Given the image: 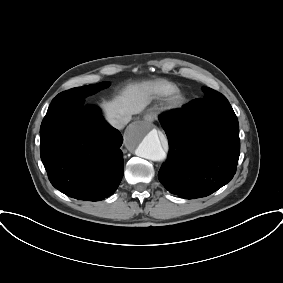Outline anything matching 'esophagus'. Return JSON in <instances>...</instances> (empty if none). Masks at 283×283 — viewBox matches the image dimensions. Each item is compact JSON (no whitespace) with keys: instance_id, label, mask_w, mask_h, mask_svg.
<instances>
[{"instance_id":"obj_1","label":"esophagus","mask_w":283,"mask_h":283,"mask_svg":"<svg viewBox=\"0 0 283 283\" xmlns=\"http://www.w3.org/2000/svg\"><path fill=\"white\" fill-rule=\"evenodd\" d=\"M143 118L147 122H153L154 118H155V115L153 113H147V114L144 115Z\"/></svg>"}]
</instances>
